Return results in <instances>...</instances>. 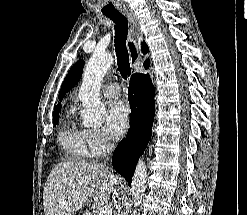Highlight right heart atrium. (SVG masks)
<instances>
[{"label": "right heart atrium", "instance_id": "d8ad5b80", "mask_svg": "<svg viewBox=\"0 0 247 215\" xmlns=\"http://www.w3.org/2000/svg\"><path fill=\"white\" fill-rule=\"evenodd\" d=\"M85 134L93 157L103 156L115 145L113 137L104 129H87Z\"/></svg>", "mask_w": 247, "mask_h": 215}]
</instances>
